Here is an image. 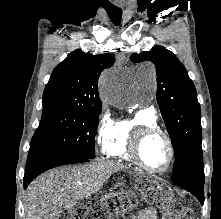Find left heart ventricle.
I'll list each match as a JSON object with an SVG mask.
<instances>
[{"instance_id": "1", "label": "left heart ventricle", "mask_w": 221, "mask_h": 219, "mask_svg": "<svg viewBox=\"0 0 221 219\" xmlns=\"http://www.w3.org/2000/svg\"><path fill=\"white\" fill-rule=\"evenodd\" d=\"M141 156L149 167L158 170L164 169L169 157L165 140L160 135L148 137L142 144Z\"/></svg>"}]
</instances>
